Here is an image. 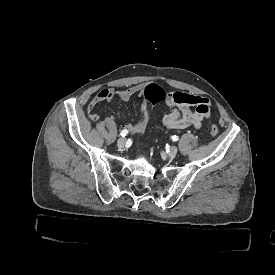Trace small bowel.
I'll return each mask as SVG.
<instances>
[{"label":"small bowel","instance_id":"obj_1","mask_svg":"<svg viewBox=\"0 0 275 275\" xmlns=\"http://www.w3.org/2000/svg\"><path fill=\"white\" fill-rule=\"evenodd\" d=\"M144 88V84H136L120 91L103 89L89 102L87 108L94 110L98 120L97 106L100 102L114 101L122 103L133 96L142 95ZM164 105L170 109V112L162 119L163 126L168 129L178 130L188 127L199 129L203 121L210 116V102L208 99L182 91L170 92L164 100ZM124 128L133 132L135 126L126 124Z\"/></svg>","mask_w":275,"mask_h":275}]
</instances>
